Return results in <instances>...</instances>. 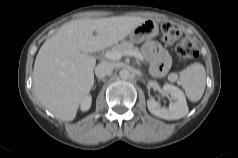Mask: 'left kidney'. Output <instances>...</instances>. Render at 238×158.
I'll list each match as a JSON object with an SVG mask.
<instances>
[{"instance_id":"left-kidney-1","label":"left kidney","mask_w":238,"mask_h":158,"mask_svg":"<svg viewBox=\"0 0 238 158\" xmlns=\"http://www.w3.org/2000/svg\"><path fill=\"white\" fill-rule=\"evenodd\" d=\"M163 90L169 94L174 102L170 103L169 108H162L158 102L153 99L147 101L148 110L155 116L166 120H177L188 114V105L186 97L178 87L170 84H164Z\"/></svg>"}]
</instances>
